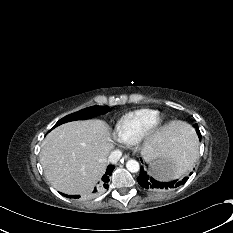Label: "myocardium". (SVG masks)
I'll list each match as a JSON object with an SVG mask.
<instances>
[{"instance_id": "1", "label": "myocardium", "mask_w": 233, "mask_h": 233, "mask_svg": "<svg viewBox=\"0 0 233 233\" xmlns=\"http://www.w3.org/2000/svg\"><path fill=\"white\" fill-rule=\"evenodd\" d=\"M164 122V116L162 114L157 113L149 122L147 129L144 132L145 136H150L157 132ZM143 135V136H144Z\"/></svg>"}]
</instances>
